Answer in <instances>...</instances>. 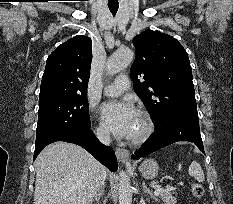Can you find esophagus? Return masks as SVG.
Here are the masks:
<instances>
[{"instance_id":"obj_1","label":"esophagus","mask_w":233,"mask_h":204,"mask_svg":"<svg viewBox=\"0 0 233 204\" xmlns=\"http://www.w3.org/2000/svg\"><path fill=\"white\" fill-rule=\"evenodd\" d=\"M115 154L119 161H125L129 159L130 153L127 149L124 148H116Z\"/></svg>"}]
</instances>
